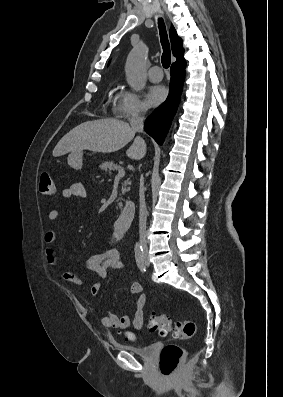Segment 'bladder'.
<instances>
[{
  "label": "bladder",
  "instance_id": "1",
  "mask_svg": "<svg viewBox=\"0 0 283 397\" xmlns=\"http://www.w3.org/2000/svg\"><path fill=\"white\" fill-rule=\"evenodd\" d=\"M120 349L130 352L142 359L150 360L152 359L159 347L158 343H151L145 346H130V345H119Z\"/></svg>",
  "mask_w": 283,
  "mask_h": 397
}]
</instances>
